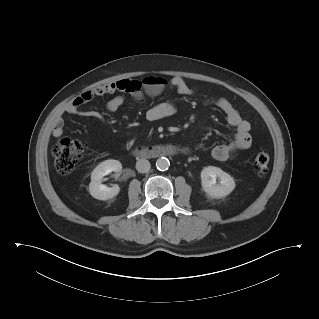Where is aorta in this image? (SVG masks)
<instances>
[{
	"mask_svg": "<svg viewBox=\"0 0 319 319\" xmlns=\"http://www.w3.org/2000/svg\"><path fill=\"white\" fill-rule=\"evenodd\" d=\"M169 166H170V162L165 157H161V158L157 159V161H156V167L160 171L168 170Z\"/></svg>",
	"mask_w": 319,
	"mask_h": 319,
	"instance_id": "aorta-1",
	"label": "aorta"
}]
</instances>
